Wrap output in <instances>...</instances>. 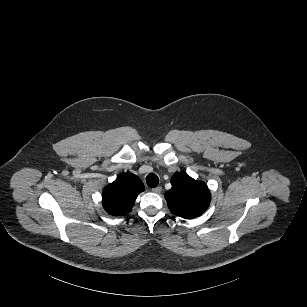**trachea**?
<instances>
[{
	"label": "trachea",
	"instance_id": "3493384b",
	"mask_svg": "<svg viewBox=\"0 0 307 307\" xmlns=\"http://www.w3.org/2000/svg\"><path fill=\"white\" fill-rule=\"evenodd\" d=\"M146 183L149 187L154 188L158 185L159 178L157 177L156 174L150 173L148 174V176H146Z\"/></svg>",
	"mask_w": 307,
	"mask_h": 307
}]
</instances>
